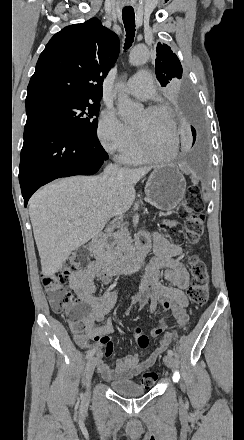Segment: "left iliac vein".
I'll list each match as a JSON object with an SVG mask.
<instances>
[{
    "instance_id": "1",
    "label": "left iliac vein",
    "mask_w": 244,
    "mask_h": 440,
    "mask_svg": "<svg viewBox=\"0 0 244 440\" xmlns=\"http://www.w3.org/2000/svg\"><path fill=\"white\" fill-rule=\"evenodd\" d=\"M163 361L168 368H172L174 366V358L170 355H165L163 357Z\"/></svg>"
}]
</instances>
